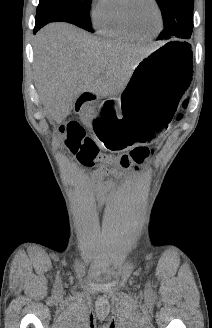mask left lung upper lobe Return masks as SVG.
I'll use <instances>...</instances> for the list:
<instances>
[{"mask_svg": "<svg viewBox=\"0 0 212 328\" xmlns=\"http://www.w3.org/2000/svg\"><path fill=\"white\" fill-rule=\"evenodd\" d=\"M163 16L164 29L158 40L190 38L193 30V0H156Z\"/></svg>", "mask_w": 212, "mask_h": 328, "instance_id": "5c2ea615", "label": "left lung upper lobe"}]
</instances>
